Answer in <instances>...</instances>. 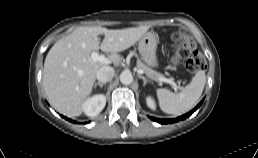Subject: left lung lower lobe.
Returning <instances> with one entry per match:
<instances>
[{
  "instance_id": "0a47b994",
  "label": "left lung lower lobe",
  "mask_w": 258,
  "mask_h": 158,
  "mask_svg": "<svg viewBox=\"0 0 258 158\" xmlns=\"http://www.w3.org/2000/svg\"><path fill=\"white\" fill-rule=\"evenodd\" d=\"M203 100L192 110L190 111L189 113L183 115V116H180L178 118H175V119H158V118H154V117H150L153 121L155 122H158L160 124H168V123H175V122H178L180 120H184L186 119L187 117H189L194 111H196L200 105L202 104Z\"/></svg>"
}]
</instances>
